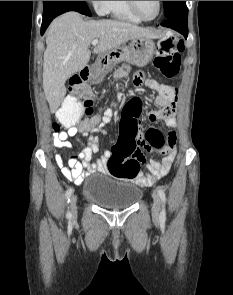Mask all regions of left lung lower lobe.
<instances>
[{
	"label": "left lung lower lobe",
	"instance_id": "0a47b994",
	"mask_svg": "<svg viewBox=\"0 0 233 295\" xmlns=\"http://www.w3.org/2000/svg\"><path fill=\"white\" fill-rule=\"evenodd\" d=\"M188 12L168 18L165 22L161 23L162 26L172 28L180 32L185 38L188 36Z\"/></svg>",
	"mask_w": 233,
	"mask_h": 295
}]
</instances>
